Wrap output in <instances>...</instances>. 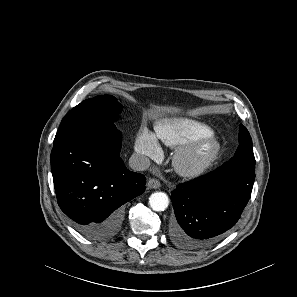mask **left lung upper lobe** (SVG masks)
<instances>
[{"label":"left lung upper lobe","mask_w":297,"mask_h":297,"mask_svg":"<svg viewBox=\"0 0 297 297\" xmlns=\"http://www.w3.org/2000/svg\"><path fill=\"white\" fill-rule=\"evenodd\" d=\"M234 156H244V157L253 156L254 157L251 136L243 125H240L239 146Z\"/></svg>","instance_id":"1"}]
</instances>
